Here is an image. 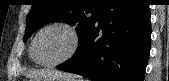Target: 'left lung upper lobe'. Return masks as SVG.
I'll use <instances>...</instances> for the list:
<instances>
[{
	"label": "left lung upper lobe",
	"instance_id": "obj_1",
	"mask_svg": "<svg viewBox=\"0 0 169 81\" xmlns=\"http://www.w3.org/2000/svg\"><path fill=\"white\" fill-rule=\"evenodd\" d=\"M107 0H33L32 9L26 20V41L44 24L60 21L77 25L79 43L93 27ZM92 13L91 16L86 15Z\"/></svg>",
	"mask_w": 169,
	"mask_h": 81
}]
</instances>
